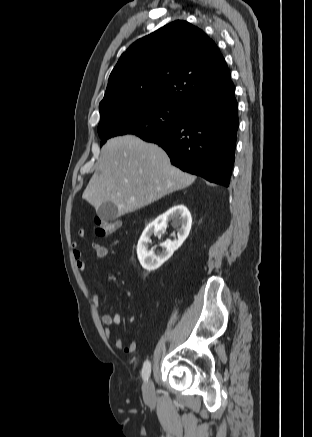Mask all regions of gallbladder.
<instances>
[{
	"instance_id": "1",
	"label": "gallbladder",
	"mask_w": 312,
	"mask_h": 437,
	"mask_svg": "<svg viewBox=\"0 0 312 437\" xmlns=\"http://www.w3.org/2000/svg\"><path fill=\"white\" fill-rule=\"evenodd\" d=\"M97 215L103 221H113L118 217V208L112 202H104L97 209Z\"/></svg>"
}]
</instances>
